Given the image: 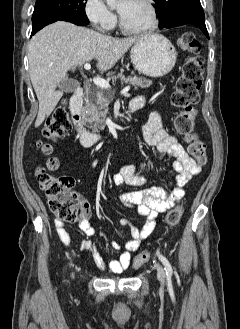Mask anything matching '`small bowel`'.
<instances>
[{
	"mask_svg": "<svg viewBox=\"0 0 240 329\" xmlns=\"http://www.w3.org/2000/svg\"><path fill=\"white\" fill-rule=\"evenodd\" d=\"M137 107L136 110L147 105L144 96H138L132 100ZM142 137L146 146L154 148L161 159L166 156L174 158L173 169L177 172L172 188L151 187L138 191L124 192L119 195L120 203L129 208H135L139 215L145 217L146 221L141 229H138L129 219H121L120 224L127 228L132 238L125 243V250L116 259L111 260L108 265L104 262L95 242L84 240L79 249L86 250L91 254L94 263L100 269H108L113 273H122L131 262V252L137 250L141 243L151 234L155 227L157 216L170 208L178 205L185 196V187L190 179L201 170L196 161L184 150L177 137L171 135L162 123L161 113L153 109L148 122L142 127ZM96 165V161L93 162ZM112 182L116 186L123 184L132 187H142L147 184V178L140 173L136 164H127L119 172L113 175ZM91 207L87 202L81 206L79 227L87 235L93 236L96 229L91 225ZM57 234L61 242L68 246L70 237L65 223L55 221ZM111 246L119 251L121 245L113 241Z\"/></svg>",
	"mask_w": 240,
	"mask_h": 329,
	"instance_id": "c3829d8e",
	"label": "small bowel"
}]
</instances>
